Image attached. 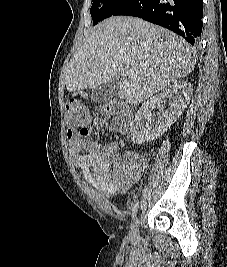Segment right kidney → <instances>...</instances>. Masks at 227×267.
Wrapping results in <instances>:
<instances>
[{
    "instance_id": "ca27d5eb",
    "label": "right kidney",
    "mask_w": 227,
    "mask_h": 267,
    "mask_svg": "<svg viewBox=\"0 0 227 267\" xmlns=\"http://www.w3.org/2000/svg\"><path fill=\"white\" fill-rule=\"evenodd\" d=\"M192 87L187 81H174L161 93L147 100L137 111L130 127L131 140L136 144H145L163 135L181 116L192 96ZM169 98V106L163 111L160 104ZM156 106L160 112L156 120L151 111Z\"/></svg>"
}]
</instances>
